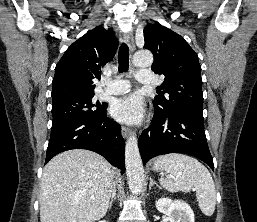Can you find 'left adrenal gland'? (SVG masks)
<instances>
[{"label":"left adrenal gland","instance_id":"1","mask_svg":"<svg viewBox=\"0 0 257 222\" xmlns=\"http://www.w3.org/2000/svg\"><path fill=\"white\" fill-rule=\"evenodd\" d=\"M149 180H150L149 189H151L153 185H156L157 187H159L158 184L155 181H153L152 177H149Z\"/></svg>","mask_w":257,"mask_h":222}]
</instances>
